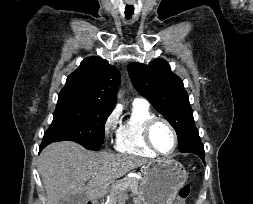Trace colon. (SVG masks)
Listing matches in <instances>:
<instances>
[{"label":"colon","mask_w":253,"mask_h":204,"mask_svg":"<svg viewBox=\"0 0 253 204\" xmlns=\"http://www.w3.org/2000/svg\"><path fill=\"white\" fill-rule=\"evenodd\" d=\"M190 193H191V187L189 184H185L181 186L180 189L178 190V194H177L174 204H186V201L189 198Z\"/></svg>","instance_id":"5ec220e1"}]
</instances>
